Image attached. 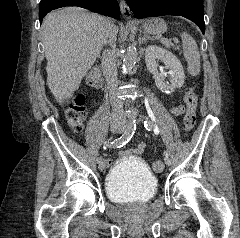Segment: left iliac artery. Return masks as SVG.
<instances>
[{"instance_id": "left-iliac-artery-1", "label": "left iliac artery", "mask_w": 240, "mask_h": 238, "mask_svg": "<svg viewBox=\"0 0 240 238\" xmlns=\"http://www.w3.org/2000/svg\"><path fill=\"white\" fill-rule=\"evenodd\" d=\"M143 125H144L146 130H149V131L152 130V129L154 130V125L149 120H144ZM164 155L166 157H168L169 153L166 151V152H164Z\"/></svg>"}]
</instances>
